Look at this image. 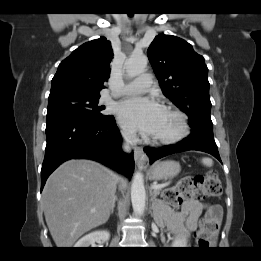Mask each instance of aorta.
Here are the masks:
<instances>
[{
	"label": "aorta",
	"instance_id": "aorta-1",
	"mask_svg": "<svg viewBox=\"0 0 261 261\" xmlns=\"http://www.w3.org/2000/svg\"><path fill=\"white\" fill-rule=\"evenodd\" d=\"M148 59L144 55H132L125 62V70L128 77L133 78L143 73L147 66ZM146 192L144 187L143 174L137 171L133 176L131 185L132 207L136 214L141 215L145 208Z\"/></svg>",
	"mask_w": 261,
	"mask_h": 261
}]
</instances>
